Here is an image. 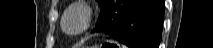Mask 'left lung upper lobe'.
<instances>
[{"mask_svg":"<svg viewBox=\"0 0 213 48\" xmlns=\"http://www.w3.org/2000/svg\"><path fill=\"white\" fill-rule=\"evenodd\" d=\"M98 2L100 4V9H101V13H102L103 10L107 7V5L110 2V0H98Z\"/></svg>","mask_w":213,"mask_h":48,"instance_id":"5c2ea615","label":"left lung upper lobe"}]
</instances>
